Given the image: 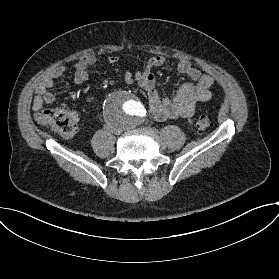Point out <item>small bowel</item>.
Returning <instances> with one entry per match:
<instances>
[{
	"mask_svg": "<svg viewBox=\"0 0 279 279\" xmlns=\"http://www.w3.org/2000/svg\"><path fill=\"white\" fill-rule=\"evenodd\" d=\"M96 57L92 54L82 56L74 66V83L77 86L82 85L88 78V67L96 63ZM108 62L116 65L119 58L116 55H110ZM165 57L161 55L152 56L146 62L143 71L125 70L123 78L128 84H138L148 95L149 108L152 116L159 121L174 118H188L193 115L198 103L209 101L212 94L209 90L213 84V78L203 74L201 70L192 62L181 59L177 62L176 70L185 75L188 81L178 87L170 98H161L155 88V76L153 68L164 65ZM67 68L64 65H58L49 71L37 84L35 95L32 101V110L39 112L44 105L52 104L55 96L50 92L55 82L62 77ZM92 100V96L86 97ZM71 118L74 123L80 120L79 114L71 112Z\"/></svg>",
	"mask_w": 279,
	"mask_h": 279,
	"instance_id": "c3829d8e",
	"label": "small bowel"
}]
</instances>
